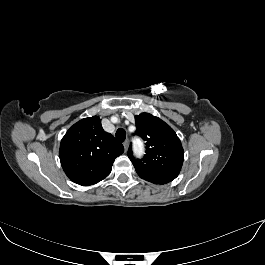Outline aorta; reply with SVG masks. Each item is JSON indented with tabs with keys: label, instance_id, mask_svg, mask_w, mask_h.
<instances>
[{
	"label": "aorta",
	"instance_id": "1",
	"mask_svg": "<svg viewBox=\"0 0 265 265\" xmlns=\"http://www.w3.org/2000/svg\"><path fill=\"white\" fill-rule=\"evenodd\" d=\"M134 152L137 156H140L143 153V147L140 141L135 143L134 145Z\"/></svg>",
	"mask_w": 265,
	"mask_h": 265
}]
</instances>
